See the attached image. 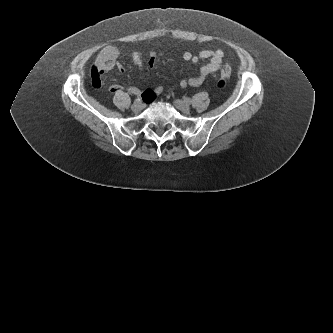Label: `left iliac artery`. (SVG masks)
<instances>
[{"label":"left iliac artery","instance_id":"left-iliac-artery-1","mask_svg":"<svg viewBox=\"0 0 333 333\" xmlns=\"http://www.w3.org/2000/svg\"><path fill=\"white\" fill-rule=\"evenodd\" d=\"M187 103H191V100L189 98L186 99Z\"/></svg>","mask_w":333,"mask_h":333}]
</instances>
